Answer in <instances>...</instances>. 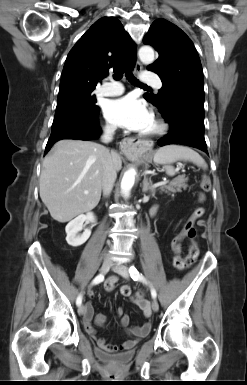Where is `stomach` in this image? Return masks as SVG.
<instances>
[{
	"instance_id": "obj_1",
	"label": "stomach",
	"mask_w": 247,
	"mask_h": 385,
	"mask_svg": "<svg viewBox=\"0 0 247 385\" xmlns=\"http://www.w3.org/2000/svg\"><path fill=\"white\" fill-rule=\"evenodd\" d=\"M139 158V155L138 156H136V159H138Z\"/></svg>"
}]
</instances>
